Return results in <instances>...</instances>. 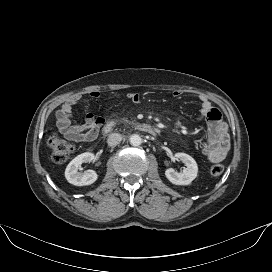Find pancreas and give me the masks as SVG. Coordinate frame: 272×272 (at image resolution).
I'll use <instances>...</instances> for the list:
<instances>
[{
  "label": "pancreas",
  "instance_id": "pancreas-1",
  "mask_svg": "<svg viewBox=\"0 0 272 272\" xmlns=\"http://www.w3.org/2000/svg\"><path fill=\"white\" fill-rule=\"evenodd\" d=\"M120 122H128V119L127 118H123L120 120Z\"/></svg>",
  "mask_w": 272,
  "mask_h": 272
}]
</instances>
